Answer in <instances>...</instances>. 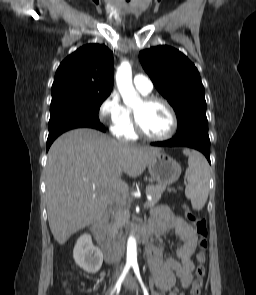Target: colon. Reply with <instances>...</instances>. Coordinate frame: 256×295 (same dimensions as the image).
I'll return each mask as SVG.
<instances>
[{
  "instance_id": "5ec220e1",
  "label": "colon",
  "mask_w": 256,
  "mask_h": 295,
  "mask_svg": "<svg viewBox=\"0 0 256 295\" xmlns=\"http://www.w3.org/2000/svg\"><path fill=\"white\" fill-rule=\"evenodd\" d=\"M185 218L195 227V233L198 237L197 252H196V266L194 269V281L190 290V295H201L203 280L205 276V249L207 248V225L206 220L202 217L194 215L184 207Z\"/></svg>"
}]
</instances>
